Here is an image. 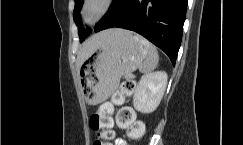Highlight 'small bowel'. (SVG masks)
<instances>
[{
    "mask_svg": "<svg viewBox=\"0 0 243 145\" xmlns=\"http://www.w3.org/2000/svg\"><path fill=\"white\" fill-rule=\"evenodd\" d=\"M115 145H127V144L123 139L118 138L115 142Z\"/></svg>",
    "mask_w": 243,
    "mask_h": 145,
    "instance_id": "obj_1",
    "label": "small bowel"
}]
</instances>
